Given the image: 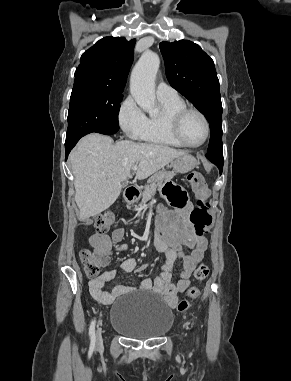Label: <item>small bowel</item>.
I'll list each match as a JSON object with an SVG mask.
<instances>
[{"instance_id": "1", "label": "small bowel", "mask_w": 291, "mask_h": 381, "mask_svg": "<svg viewBox=\"0 0 291 381\" xmlns=\"http://www.w3.org/2000/svg\"><path fill=\"white\" fill-rule=\"evenodd\" d=\"M165 195L170 201L173 209L165 206L158 208L156 218V230L154 245L157 251L164 254L165 259L161 266L160 274L155 278H145L140 282L139 289L161 294L165 303L175 308L179 294L185 292L190 285V277L195 267L203 260L208 241L203 236H197L189 229L188 217L191 211L186 201L184 192L178 187H167ZM174 198L183 199L182 205H175ZM124 231L122 228L115 229L111 236L94 234L89 238V243L94 251L110 252L112 244L117 251H126L128 246L123 243ZM187 247V254L183 248ZM180 260L179 279L172 281L174 264ZM146 266H141L138 271H143ZM136 270V260L127 258L120 265V271L132 272ZM118 271L107 270L99 276L92 278L89 283L91 296L103 305L111 304L115 298L128 293L131 288L125 285H116L110 291L104 286L112 281Z\"/></svg>"}]
</instances>
